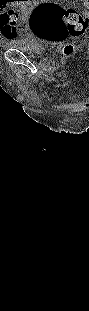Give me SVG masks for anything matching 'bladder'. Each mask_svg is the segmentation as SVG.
Masks as SVG:
<instances>
[{
  "label": "bladder",
  "mask_w": 89,
  "mask_h": 311,
  "mask_svg": "<svg viewBox=\"0 0 89 311\" xmlns=\"http://www.w3.org/2000/svg\"><path fill=\"white\" fill-rule=\"evenodd\" d=\"M11 47L33 55H38L44 50L43 45L30 36H26L23 40L13 42Z\"/></svg>",
  "instance_id": "obj_1"
}]
</instances>
